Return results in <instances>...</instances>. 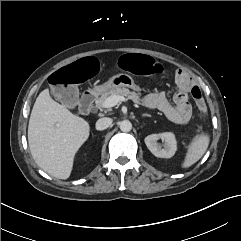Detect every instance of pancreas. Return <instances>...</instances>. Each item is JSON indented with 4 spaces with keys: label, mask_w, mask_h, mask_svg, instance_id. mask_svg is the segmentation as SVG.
<instances>
[{
    "label": "pancreas",
    "mask_w": 241,
    "mask_h": 241,
    "mask_svg": "<svg viewBox=\"0 0 241 241\" xmlns=\"http://www.w3.org/2000/svg\"><path fill=\"white\" fill-rule=\"evenodd\" d=\"M111 96H126L129 99L133 100L135 103L140 102V93H136L134 91H130L128 88H116L110 91L103 92L101 97L96 100V107L100 109L103 108V103L105 100Z\"/></svg>",
    "instance_id": "cf45deb5"
}]
</instances>
